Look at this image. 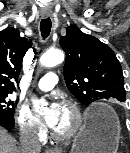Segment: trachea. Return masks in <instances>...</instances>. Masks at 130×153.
I'll return each instance as SVG.
<instances>
[{"instance_id":"1","label":"trachea","mask_w":130,"mask_h":153,"mask_svg":"<svg viewBox=\"0 0 130 153\" xmlns=\"http://www.w3.org/2000/svg\"><path fill=\"white\" fill-rule=\"evenodd\" d=\"M51 19L50 18H46V19H42L40 22V31H41V35L42 37L45 39L49 36L50 31H51Z\"/></svg>"}]
</instances>
